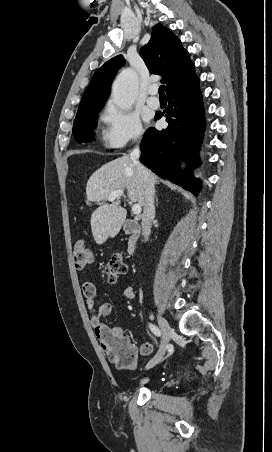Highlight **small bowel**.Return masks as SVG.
Returning <instances> with one entry per match:
<instances>
[{"instance_id":"obj_1","label":"small bowel","mask_w":272,"mask_h":452,"mask_svg":"<svg viewBox=\"0 0 272 452\" xmlns=\"http://www.w3.org/2000/svg\"><path fill=\"white\" fill-rule=\"evenodd\" d=\"M82 290L85 296L86 306L91 313L90 323L95 330L100 347L105 350L107 338L110 336L125 335L124 331L119 327L109 328L102 323V318L108 316L112 312V304L103 302L96 306L97 290L93 283L89 281L84 282ZM124 295L130 300H134L136 297L133 287H127L124 290ZM153 351L154 343L152 342H145L141 344L138 349L139 354L142 356L151 355Z\"/></svg>"}]
</instances>
